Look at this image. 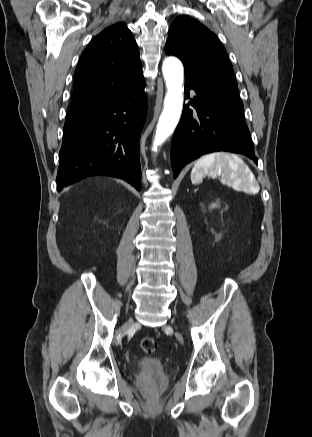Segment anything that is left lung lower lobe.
I'll return each mask as SVG.
<instances>
[{
    "mask_svg": "<svg viewBox=\"0 0 312 437\" xmlns=\"http://www.w3.org/2000/svg\"><path fill=\"white\" fill-rule=\"evenodd\" d=\"M190 89L195 90L196 96L188 105L194 106L196 113L185 105L174 133L171 146L174 178L185 164L215 151L244 154L257 164L254 145L244 117L223 99L203 92L185 80L186 97H189Z\"/></svg>",
    "mask_w": 312,
    "mask_h": 437,
    "instance_id": "obj_1",
    "label": "left lung lower lobe"
}]
</instances>
